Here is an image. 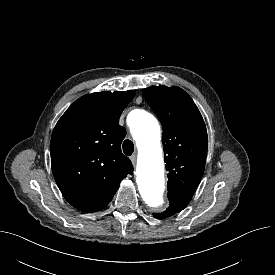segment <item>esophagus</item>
Masks as SVG:
<instances>
[{
    "label": "esophagus",
    "instance_id": "obj_1",
    "mask_svg": "<svg viewBox=\"0 0 275 275\" xmlns=\"http://www.w3.org/2000/svg\"><path fill=\"white\" fill-rule=\"evenodd\" d=\"M130 160H131L132 164L135 165V164H136V160H137L136 154H133V155L130 157Z\"/></svg>",
    "mask_w": 275,
    "mask_h": 275
}]
</instances>
